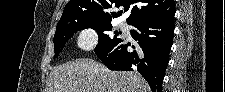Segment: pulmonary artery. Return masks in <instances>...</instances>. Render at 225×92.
<instances>
[{
  "label": "pulmonary artery",
  "mask_w": 225,
  "mask_h": 92,
  "mask_svg": "<svg viewBox=\"0 0 225 92\" xmlns=\"http://www.w3.org/2000/svg\"><path fill=\"white\" fill-rule=\"evenodd\" d=\"M121 28L126 29L127 28V23L125 21H122L120 23Z\"/></svg>",
  "instance_id": "1"
}]
</instances>
